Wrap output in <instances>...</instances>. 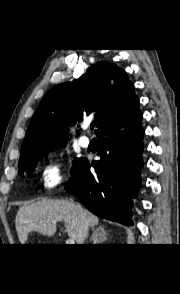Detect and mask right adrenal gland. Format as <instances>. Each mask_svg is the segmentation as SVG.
I'll use <instances>...</instances> for the list:
<instances>
[{"mask_svg":"<svg viewBox=\"0 0 180 294\" xmlns=\"http://www.w3.org/2000/svg\"><path fill=\"white\" fill-rule=\"evenodd\" d=\"M92 239H93V244H102L107 239V231L102 226H99L93 232Z\"/></svg>","mask_w":180,"mask_h":294,"instance_id":"obj_1","label":"right adrenal gland"}]
</instances>
